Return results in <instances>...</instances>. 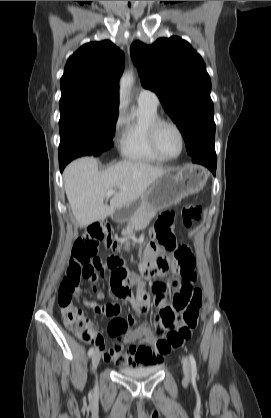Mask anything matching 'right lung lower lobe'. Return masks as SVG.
<instances>
[{"instance_id": "obj_1", "label": "right lung lower lobe", "mask_w": 271, "mask_h": 418, "mask_svg": "<svg viewBox=\"0 0 271 418\" xmlns=\"http://www.w3.org/2000/svg\"><path fill=\"white\" fill-rule=\"evenodd\" d=\"M74 158L71 156H63V157H59V166H60V171L62 172L63 169L65 168V166Z\"/></svg>"}]
</instances>
